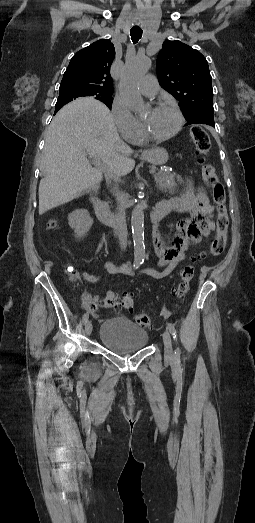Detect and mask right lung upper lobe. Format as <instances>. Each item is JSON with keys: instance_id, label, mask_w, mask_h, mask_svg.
<instances>
[{"instance_id": "cb5924a9", "label": "right lung upper lobe", "mask_w": 255, "mask_h": 523, "mask_svg": "<svg viewBox=\"0 0 255 523\" xmlns=\"http://www.w3.org/2000/svg\"><path fill=\"white\" fill-rule=\"evenodd\" d=\"M114 57L115 48L108 39L98 40L78 51L64 73L59 92L112 95L110 67ZM65 104L66 102L57 101L55 113Z\"/></svg>"}]
</instances>
